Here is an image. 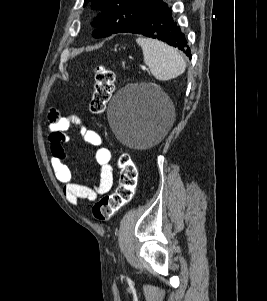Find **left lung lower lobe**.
Here are the masks:
<instances>
[{
  "label": "left lung lower lobe",
  "instance_id": "1",
  "mask_svg": "<svg viewBox=\"0 0 267 301\" xmlns=\"http://www.w3.org/2000/svg\"><path fill=\"white\" fill-rule=\"evenodd\" d=\"M119 32L141 34L168 43L182 50L191 59V51L185 35L172 17L170 7L161 1L136 22L123 27Z\"/></svg>",
  "mask_w": 267,
  "mask_h": 301
}]
</instances>
